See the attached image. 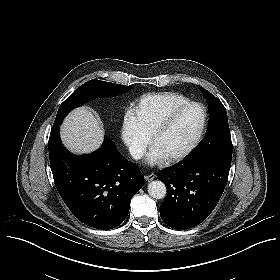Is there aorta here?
<instances>
[{
    "instance_id": "obj_1",
    "label": "aorta",
    "mask_w": 280,
    "mask_h": 280,
    "mask_svg": "<svg viewBox=\"0 0 280 280\" xmlns=\"http://www.w3.org/2000/svg\"><path fill=\"white\" fill-rule=\"evenodd\" d=\"M147 189L149 195L155 199H162L166 196V186L159 180L150 182Z\"/></svg>"
}]
</instances>
